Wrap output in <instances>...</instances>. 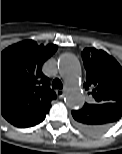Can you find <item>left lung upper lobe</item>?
Instances as JSON below:
<instances>
[{
	"mask_svg": "<svg viewBox=\"0 0 122 154\" xmlns=\"http://www.w3.org/2000/svg\"><path fill=\"white\" fill-rule=\"evenodd\" d=\"M82 59L86 69L84 88L90 90L92 103H122V67L119 63L95 48L84 49ZM77 111H72L75 120Z\"/></svg>",
	"mask_w": 122,
	"mask_h": 154,
	"instance_id": "left-lung-upper-lobe-1",
	"label": "left lung upper lobe"
}]
</instances>
